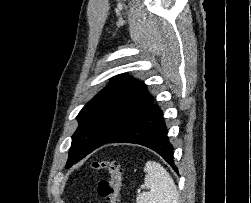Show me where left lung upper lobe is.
I'll use <instances>...</instances> for the list:
<instances>
[{
    "mask_svg": "<svg viewBox=\"0 0 251 203\" xmlns=\"http://www.w3.org/2000/svg\"><path fill=\"white\" fill-rule=\"evenodd\" d=\"M153 105L146 85L117 76L79 112L66 168L84 158Z\"/></svg>",
    "mask_w": 251,
    "mask_h": 203,
    "instance_id": "obj_1",
    "label": "left lung upper lobe"
}]
</instances>
